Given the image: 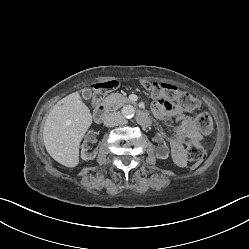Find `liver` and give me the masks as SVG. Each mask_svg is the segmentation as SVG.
I'll return each mask as SVG.
<instances>
[{
  "mask_svg": "<svg viewBox=\"0 0 249 249\" xmlns=\"http://www.w3.org/2000/svg\"><path fill=\"white\" fill-rule=\"evenodd\" d=\"M91 124L92 115L79 93L64 97L52 108L44 124L43 141L49 155L66 167H76L80 142Z\"/></svg>",
  "mask_w": 249,
  "mask_h": 249,
  "instance_id": "obj_1",
  "label": "liver"
}]
</instances>
